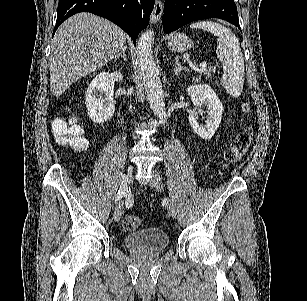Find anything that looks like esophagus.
I'll return each instance as SVG.
<instances>
[{
    "label": "esophagus",
    "instance_id": "esophagus-1",
    "mask_svg": "<svg viewBox=\"0 0 307 301\" xmlns=\"http://www.w3.org/2000/svg\"><path fill=\"white\" fill-rule=\"evenodd\" d=\"M162 13H163V5L161 0H155V6L150 16V23L151 24L157 23L160 20Z\"/></svg>",
    "mask_w": 307,
    "mask_h": 301
}]
</instances>
